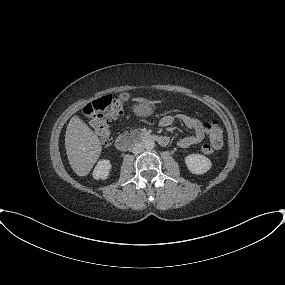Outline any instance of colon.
Listing matches in <instances>:
<instances>
[{
	"mask_svg": "<svg viewBox=\"0 0 285 285\" xmlns=\"http://www.w3.org/2000/svg\"><path fill=\"white\" fill-rule=\"evenodd\" d=\"M127 100L126 93L110 94L88 103L83 109L84 118L89 121L104 148L112 143L111 121L124 113ZM206 130L209 143L202 146V152L210 155L222 147L223 128L218 122H212L207 124Z\"/></svg>",
	"mask_w": 285,
	"mask_h": 285,
	"instance_id": "5ec220e1",
	"label": "colon"
}]
</instances>
